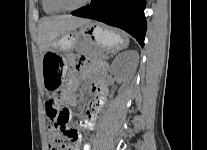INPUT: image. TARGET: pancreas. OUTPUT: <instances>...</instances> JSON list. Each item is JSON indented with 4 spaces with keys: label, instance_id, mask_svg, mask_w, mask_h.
Listing matches in <instances>:
<instances>
[{
    "label": "pancreas",
    "instance_id": "1",
    "mask_svg": "<svg viewBox=\"0 0 207 150\" xmlns=\"http://www.w3.org/2000/svg\"><path fill=\"white\" fill-rule=\"evenodd\" d=\"M104 58H105V57H104V56H102V60H104ZM102 60H101V61H102Z\"/></svg>",
    "mask_w": 207,
    "mask_h": 150
}]
</instances>
